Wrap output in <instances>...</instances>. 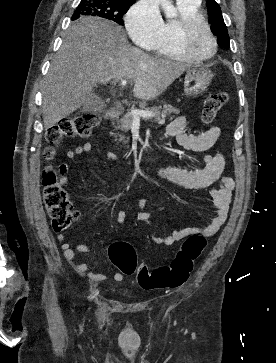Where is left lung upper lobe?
<instances>
[{
  "label": "left lung upper lobe",
  "mask_w": 276,
  "mask_h": 363,
  "mask_svg": "<svg viewBox=\"0 0 276 363\" xmlns=\"http://www.w3.org/2000/svg\"><path fill=\"white\" fill-rule=\"evenodd\" d=\"M206 5L209 12L211 30L214 35L218 36V44L223 48H228L230 46L229 35L219 5L215 0H208Z\"/></svg>",
  "instance_id": "left-lung-upper-lobe-1"
}]
</instances>
